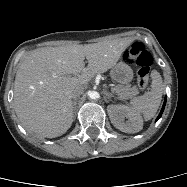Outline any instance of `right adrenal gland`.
<instances>
[{
	"label": "right adrenal gland",
	"instance_id": "right-adrenal-gland-1",
	"mask_svg": "<svg viewBox=\"0 0 187 187\" xmlns=\"http://www.w3.org/2000/svg\"><path fill=\"white\" fill-rule=\"evenodd\" d=\"M76 102H77V99L75 98V99L73 100V108H74V110L76 109Z\"/></svg>",
	"mask_w": 187,
	"mask_h": 187
}]
</instances>
